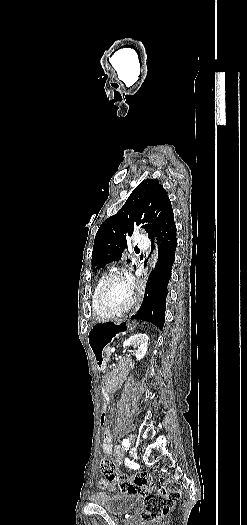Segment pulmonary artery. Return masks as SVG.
<instances>
[{"label": "pulmonary artery", "instance_id": "e3ab8cb5", "mask_svg": "<svg viewBox=\"0 0 247 525\" xmlns=\"http://www.w3.org/2000/svg\"><path fill=\"white\" fill-rule=\"evenodd\" d=\"M132 243L139 244V246H141V248H143L144 250H147L149 248V240L147 236H133Z\"/></svg>", "mask_w": 247, "mask_h": 525}]
</instances>
